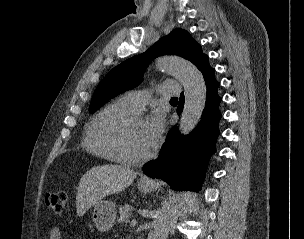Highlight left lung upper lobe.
<instances>
[{"mask_svg": "<svg viewBox=\"0 0 304 239\" xmlns=\"http://www.w3.org/2000/svg\"><path fill=\"white\" fill-rule=\"evenodd\" d=\"M168 54L181 56L197 68L207 57L202 53L201 46L186 30L174 29L146 52L131 57L113 68L95 89L89 112H95L111 98L136 87L141 82L142 72L148 63L159 55Z\"/></svg>", "mask_w": 304, "mask_h": 239, "instance_id": "obj_1", "label": "left lung upper lobe"}]
</instances>
